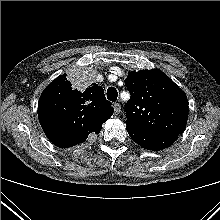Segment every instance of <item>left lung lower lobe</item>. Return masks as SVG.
<instances>
[{"label": "left lung lower lobe", "mask_w": 220, "mask_h": 220, "mask_svg": "<svg viewBox=\"0 0 220 220\" xmlns=\"http://www.w3.org/2000/svg\"><path fill=\"white\" fill-rule=\"evenodd\" d=\"M130 137L135 143L148 150L158 151L171 146L178 137L156 136L132 131L128 129Z\"/></svg>", "instance_id": "1"}]
</instances>
